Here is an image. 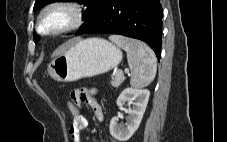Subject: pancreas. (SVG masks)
I'll return each instance as SVG.
<instances>
[{"instance_id":"cf45deb5","label":"pancreas","mask_w":227,"mask_h":142,"mask_svg":"<svg viewBox=\"0 0 227 142\" xmlns=\"http://www.w3.org/2000/svg\"><path fill=\"white\" fill-rule=\"evenodd\" d=\"M124 80L125 77L123 74H116V76L112 78L110 82L113 87H118Z\"/></svg>"}]
</instances>
